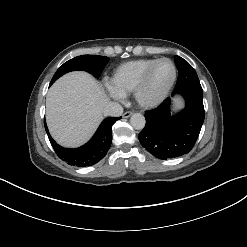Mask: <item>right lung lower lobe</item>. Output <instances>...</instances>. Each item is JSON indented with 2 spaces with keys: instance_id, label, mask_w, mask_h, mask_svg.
Instances as JSON below:
<instances>
[{
  "instance_id": "1",
  "label": "right lung lower lobe",
  "mask_w": 247,
  "mask_h": 247,
  "mask_svg": "<svg viewBox=\"0 0 247 247\" xmlns=\"http://www.w3.org/2000/svg\"><path fill=\"white\" fill-rule=\"evenodd\" d=\"M53 83L51 82L50 85ZM119 118L108 117L104 119L90 141L76 149L63 148L58 145L50 136L45 120L44 125L50 143L58 157L70 165L85 167L96 164L107 154L112 142V125Z\"/></svg>"
}]
</instances>
